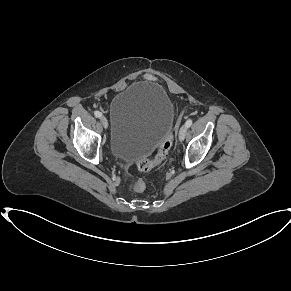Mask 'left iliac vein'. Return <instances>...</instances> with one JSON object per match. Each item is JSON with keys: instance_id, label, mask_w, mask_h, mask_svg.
<instances>
[{"instance_id": "4c4485c4", "label": "left iliac vein", "mask_w": 291, "mask_h": 291, "mask_svg": "<svg viewBox=\"0 0 291 291\" xmlns=\"http://www.w3.org/2000/svg\"><path fill=\"white\" fill-rule=\"evenodd\" d=\"M187 129H188V127L186 125H183L180 128V131H179V140L180 141H183L185 139V136H186V133H187Z\"/></svg>"}]
</instances>
